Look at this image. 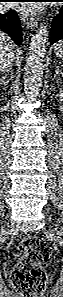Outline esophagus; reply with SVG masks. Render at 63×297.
Returning a JSON list of instances; mask_svg holds the SVG:
<instances>
[{
    "instance_id": "esophagus-1",
    "label": "esophagus",
    "mask_w": 63,
    "mask_h": 297,
    "mask_svg": "<svg viewBox=\"0 0 63 297\" xmlns=\"http://www.w3.org/2000/svg\"><path fill=\"white\" fill-rule=\"evenodd\" d=\"M22 21L28 29H34L37 26V20L34 17L22 16Z\"/></svg>"
}]
</instances>
